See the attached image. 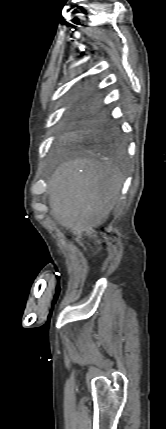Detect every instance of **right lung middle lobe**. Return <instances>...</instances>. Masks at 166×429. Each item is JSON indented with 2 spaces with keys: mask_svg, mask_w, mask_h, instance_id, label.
I'll return each mask as SVG.
<instances>
[{
  "mask_svg": "<svg viewBox=\"0 0 166 429\" xmlns=\"http://www.w3.org/2000/svg\"><path fill=\"white\" fill-rule=\"evenodd\" d=\"M105 140L107 141H112L113 146L117 147L118 144L120 143V134L118 131H114L111 133L110 136H108L107 138H105Z\"/></svg>",
  "mask_w": 166,
  "mask_h": 429,
  "instance_id": "obj_1",
  "label": "right lung middle lobe"
}]
</instances>
